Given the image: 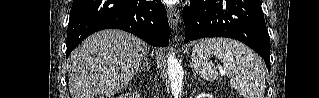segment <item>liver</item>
<instances>
[{
    "instance_id": "liver-1",
    "label": "liver",
    "mask_w": 319,
    "mask_h": 98,
    "mask_svg": "<svg viewBox=\"0 0 319 98\" xmlns=\"http://www.w3.org/2000/svg\"><path fill=\"white\" fill-rule=\"evenodd\" d=\"M148 45L122 30H103L85 39L69 57L72 98H110L136 74Z\"/></svg>"
}]
</instances>
